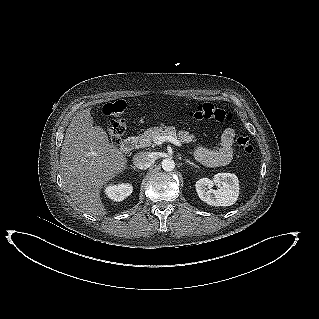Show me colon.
I'll use <instances>...</instances> for the list:
<instances>
[{"mask_svg":"<svg viewBox=\"0 0 319 319\" xmlns=\"http://www.w3.org/2000/svg\"><path fill=\"white\" fill-rule=\"evenodd\" d=\"M127 108L124 100L107 103L103 106V113L111 117L107 131L113 142H118L126 130V123L123 114ZM185 116L195 120H211L221 123H229L233 120V114L225 111L211 103L198 104L188 111H184ZM236 142L239 148L247 154L253 152V145L249 137L238 135Z\"/></svg>","mask_w":319,"mask_h":319,"instance_id":"1","label":"colon"}]
</instances>
